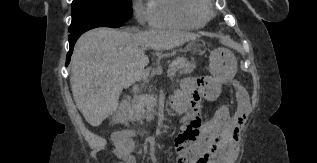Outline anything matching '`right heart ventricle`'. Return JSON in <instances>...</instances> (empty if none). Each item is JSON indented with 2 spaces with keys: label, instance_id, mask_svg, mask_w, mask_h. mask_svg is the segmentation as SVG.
<instances>
[{
  "label": "right heart ventricle",
  "instance_id": "e07e8e85",
  "mask_svg": "<svg viewBox=\"0 0 317 163\" xmlns=\"http://www.w3.org/2000/svg\"><path fill=\"white\" fill-rule=\"evenodd\" d=\"M150 26L158 29L196 30L207 16L199 9V0H150Z\"/></svg>",
  "mask_w": 317,
  "mask_h": 163
}]
</instances>
